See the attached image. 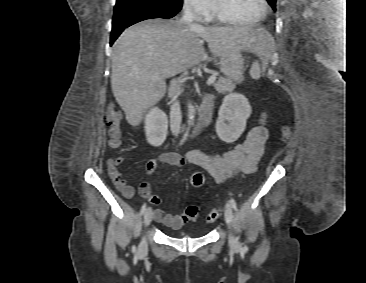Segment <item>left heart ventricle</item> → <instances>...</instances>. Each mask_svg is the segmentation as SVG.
<instances>
[{
	"mask_svg": "<svg viewBox=\"0 0 366 283\" xmlns=\"http://www.w3.org/2000/svg\"><path fill=\"white\" fill-rule=\"evenodd\" d=\"M225 8L237 19L252 21L263 12L261 0H220Z\"/></svg>",
	"mask_w": 366,
	"mask_h": 283,
	"instance_id": "1",
	"label": "left heart ventricle"
}]
</instances>
